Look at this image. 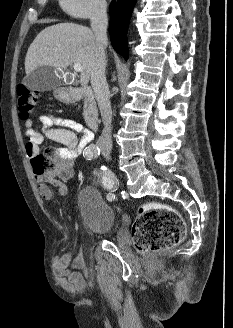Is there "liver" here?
Returning <instances> with one entry per match:
<instances>
[{
	"label": "liver",
	"mask_w": 233,
	"mask_h": 328,
	"mask_svg": "<svg viewBox=\"0 0 233 328\" xmlns=\"http://www.w3.org/2000/svg\"><path fill=\"white\" fill-rule=\"evenodd\" d=\"M94 32L75 23H59L42 30L31 43L25 58V72L40 66L67 69L72 63L82 66L80 84L86 86L91 77L96 51Z\"/></svg>",
	"instance_id": "liver-1"
}]
</instances>
